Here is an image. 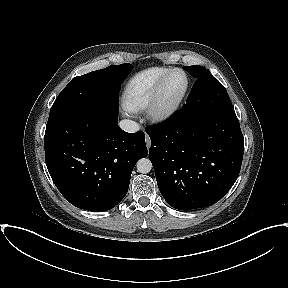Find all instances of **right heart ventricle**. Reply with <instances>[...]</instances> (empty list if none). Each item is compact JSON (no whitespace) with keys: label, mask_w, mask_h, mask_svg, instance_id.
<instances>
[{"label":"right heart ventricle","mask_w":288,"mask_h":288,"mask_svg":"<svg viewBox=\"0 0 288 288\" xmlns=\"http://www.w3.org/2000/svg\"><path fill=\"white\" fill-rule=\"evenodd\" d=\"M171 68L150 67L136 73L128 82L124 92V106L137 113L145 110L152 99L159 79Z\"/></svg>","instance_id":"1"}]
</instances>
